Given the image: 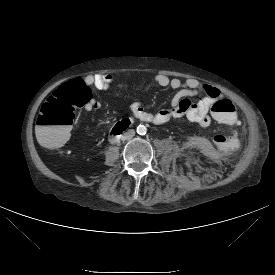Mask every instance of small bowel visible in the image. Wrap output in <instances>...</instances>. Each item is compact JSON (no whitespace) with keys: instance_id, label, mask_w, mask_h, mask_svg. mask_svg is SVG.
<instances>
[{"instance_id":"c3829d8e","label":"small bowel","mask_w":275,"mask_h":275,"mask_svg":"<svg viewBox=\"0 0 275 275\" xmlns=\"http://www.w3.org/2000/svg\"><path fill=\"white\" fill-rule=\"evenodd\" d=\"M86 84L94 86L98 89H106L111 86L119 90L128 92V85L123 82L116 81L115 77L107 74L87 75L84 78ZM143 81H145L143 79ZM152 81L162 87H170L176 90L170 107L163 108L156 113L145 111L138 101H131L129 110L133 117L144 121L153 123L155 125H162L169 120L186 117L188 120L197 123L201 127H208L212 123V116L210 108L215 99L221 98V92L208 84H200L195 79H187L182 81L178 78H170L164 74H157ZM203 94L204 97L197 102H192L190 98ZM87 110H99L100 103L93 101L86 106ZM218 121L228 125H238L239 120L237 116L230 121H223L217 118ZM243 145L242 137L235 132L218 134L213 141V152L220 157L226 158L238 152Z\"/></svg>"}]
</instances>
